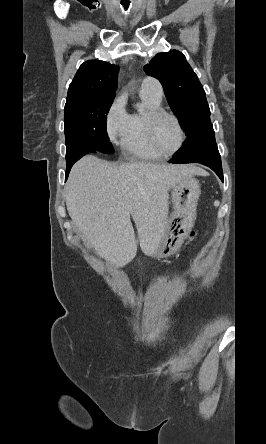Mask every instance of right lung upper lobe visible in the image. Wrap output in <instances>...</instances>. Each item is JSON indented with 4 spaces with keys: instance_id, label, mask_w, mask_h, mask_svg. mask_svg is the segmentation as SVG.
Wrapping results in <instances>:
<instances>
[{
    "instance_id": "obj_1",
    "label": "right lung upper lobe",
    "mask_w": 266,
    "mask_h": 444,
    "mask_svg": "<svg viewBox=\"0 0 266 444\" xmlns=\"http://www.w3.org/2000/svg\"><path fill=\"white\" fill-rule=\"evenodd\" d=\"M118 71V66L104 61L84 62L69 85L66 104L98 96H115Z\"/></svg>"
}]
</instances>
